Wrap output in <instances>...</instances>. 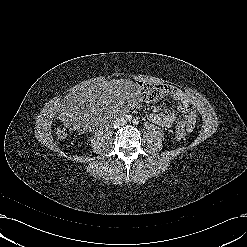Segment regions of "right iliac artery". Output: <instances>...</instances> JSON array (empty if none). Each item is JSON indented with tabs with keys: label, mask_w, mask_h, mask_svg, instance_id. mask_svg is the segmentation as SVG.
Listing matches in <instances>:
<instances>
[{
	"label": "right iliac artery",
	"mask_w": 247,
	"mask_h": 247,
	"mask_svg": "<svg viewBox=\"0 0 247 247\" xmlns=\"http://www.w3.org/2000/svg\"><path fill=\"white\" fill-rule=\"evenodd\" d=\"M128 119L131 120V116H128Z\"/></svg>",
	"instance_id": "1"
}]
</instances>
